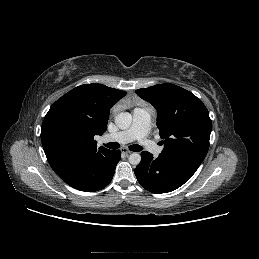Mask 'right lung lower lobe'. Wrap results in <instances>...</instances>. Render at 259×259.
Masks as SVG:
<instances>
[{
  "label": "right lung lower lobe",
  "instance_id": "obj_1",
  "mask_svg": "<svg viewBox=\"0 0 259 259\" xmlns=\"http://www.w3.org/2000/svg\"><path fill=\"white\" fill-rule=\"evenodd\" d=\"M120 155V150H109L97 157L72 164L58 176L80 191L101 190L111 182Z\"/></svg>",
  "mask_w": 259,
  "mask_h": 259
}]
</instances>
